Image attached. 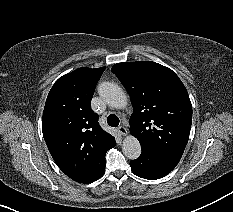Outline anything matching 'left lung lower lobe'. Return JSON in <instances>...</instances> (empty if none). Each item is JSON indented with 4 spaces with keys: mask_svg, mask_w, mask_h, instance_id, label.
<instances>
[{
    "mask_svg": "<svg viewBox=\"0 0 233 212\" xmlns=\"http://www.w3.org/2000/svg\"><path fill=\"white\" fill-rule=\"evenodd\" d=\"M179 160L163 156L149 149L142 148L140 157L130 161L132 172L141 178L155 180L170 173Z\"/></svg>",
    "mask_w": 233,
    "mask_h": 212,
    "instance_id": "left-lung-lower-lobe-1",
    "label": "left lung lower lobe"
}]
</instances>
